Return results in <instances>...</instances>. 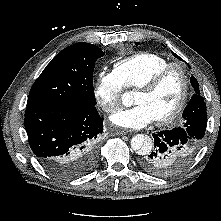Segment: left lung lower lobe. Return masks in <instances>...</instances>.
Masks as SVG:
<instances>
[{
	"mask_svg": "<svg viewBox=\"0 0 221 221\" xmlns=\"http://www.w3.org/2000/svg\"><path fill=\"white\" fill-rule=\"evenodd\" d=\"M152 136L154 148L141 157L140 165L158 177L178 174L187 167L200 146L182 127L156 132Z\"/></svg>",
	"mask_w": 221,
	"mask_h": 221,
	"instance_id": "1",
	"label": "left lung lower lobe"
}]
</instances>
